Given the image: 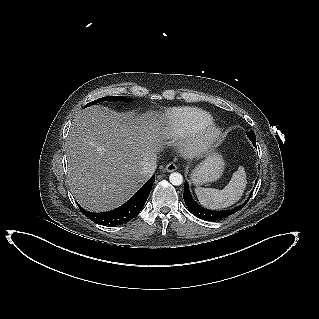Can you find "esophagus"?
Segmentation results:
<instances>
[{
	"label": "esophagus",
	"mask_w": 319,
	"mask_h": 319,
	"mask_svg": "<svg viewBox=\"0 0 319 319\" xmlns=\"http://www.w3.org/2000/svg\"><path fill=\"white\" fill-rule=\"evenodd\" d=\"M177 169V166L174 162H169L166 166V171L167 172H173Z\"/></svg>",
	"instance_id": "34e87169"
}]
</instances>
